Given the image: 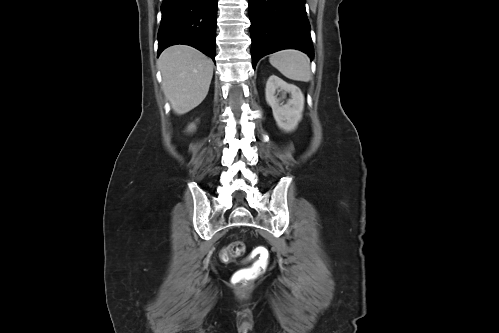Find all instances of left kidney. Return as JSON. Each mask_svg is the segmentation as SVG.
Here are the masks:
<instances>
[{"label":"left kidney","mask_w":499,"mask_h":333,"mask_svg":"<svg viewBox=\"0 0 499 333\" xmlns=\"http://www.w3.org/2000/svg\"><path fill=\"white\" fill-rule=\"evenodd\" d=\"M276 92H282L283 96L278 98ZM286 93L291 95V99L284 104ZM265 95L278 127L286 132L295 130L301 121L304 108V96L301 90L276 75H271L266 83Z\"/></svg>","instance_id":"1"}]
</instances>
